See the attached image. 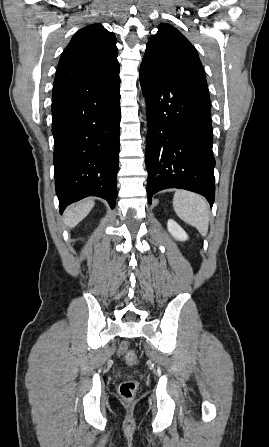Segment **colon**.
<instances>
[{
	"label": "colon",
	"mask_w": 269,
	"mask_h": 447,
	"mask_svg": "<svg viewBox=\"0 0 269 447\" xmlns=\"http://www.w3.org/2000/svg\"><path fill=\"white\" fill-rule=\"evenodd\" d=\"M121 359L126 365H135L138 362V356L133 350H122ZM137 381L134 379H125L119 386V396L125 402L134 399L137 390Z\"/></svg>",
	"instance_id": "colon-1"
}]
</instances>
